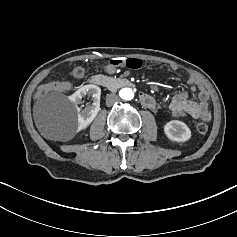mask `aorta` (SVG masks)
I'll list each match as a JSON object with an SVG mask.
<instances>
[{
  "instance_id": "762f6f07",
  "label": "aorta",
  "mask_w": 237,
  "mask_h": 237,
  "mask_svg": "<svg viewBox=\"0 0 237 237\" xmlns=\"http://www.w3.org/2000/svg\"><path fill=\"white\" fill-rule=\"evenodd\" d=\"M134 91L131 88H123L120 91V97L124 100H132L134 98Z\"/></svg>"
}]
</instances>
